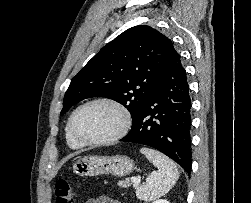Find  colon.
Segmentation results:
<instances>
[{
    "instance_id": "1",
    "label": "colon",
    "mask_w": 251,
    "mask_h": 203,
    "mask_svg": "<svg viewBox=\"0 0 251 203\" xmlns=\"http://www.w3.org/2000/svg\"><path fill=\"white\" fill-rule=\"evenodd\" d=\"M55 203H74V194L70 184L59 180L55 186Z\"/></svg>"
}]
</instances>
